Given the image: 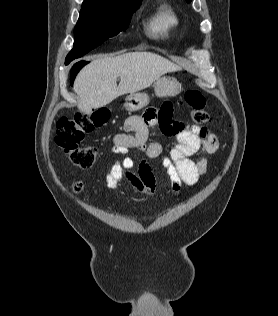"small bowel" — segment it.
<instances>
[{
    "label": "small bowel",
    "instance_id": "obj_1",
    "mask_svg": "<svg viewBox=\"0 0 278 316\" xmlns=\"http://www.w3.org/2000/svg\"><path fill=\"white\" fill-rule=\"evenodd\" d=\"M177 122L172 121V106L165 102L160 109L149 108L143 115H132L124 121V133L113 137L111 152L121 157L109 168L106 175L107 186L117 189L122 180L144 195H151L157 187V180L149 160L161 159L174 194H179L183 186H192L208 170V155L219 150L216 134L180 127L174 130ZM158 127L162 133L176 138V145L168 154L163 153L159 142H148L150 129ZM130 150L144 154L138 164L127 156ZM195 157V158H193ZM136 168V170H134Z\"/></svg>",
    "mask_w": 278,
    "mask_h": 316
}]
</instances>
